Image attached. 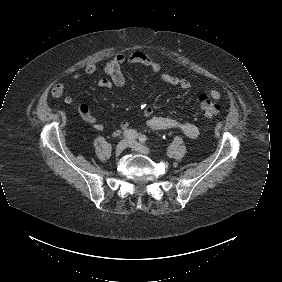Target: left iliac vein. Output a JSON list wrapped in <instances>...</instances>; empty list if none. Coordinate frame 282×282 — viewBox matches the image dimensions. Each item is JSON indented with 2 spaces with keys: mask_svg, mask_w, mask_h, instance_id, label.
<instances>
[{
  "mask_svg": "<svg viewBox=\"0 0 282 282\" xmlns=\"http://www.w3.org/2000/svg\"><path fill=\"white\" fill-rule=\"evenodd\" d=\"M129 146H130L133 150H135V151H137V152H139V153H141V154H145V155H149V154H150V149H149L148 147H146V146L143 145V144L138 143V142L135 141V140H130V141H129Z\"/></svg>",
  "mask_w": 282,
  "mask_h": 282,
  "instance_id": "left-iliac-vein-1",
  "label": "left iliac vein"
}]
</instances>
